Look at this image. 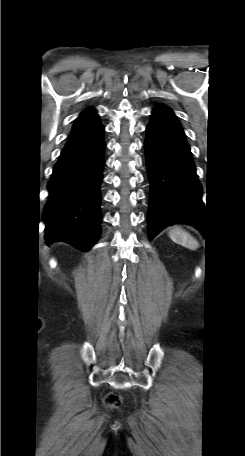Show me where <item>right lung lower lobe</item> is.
<instances>
[{
	"label": "right lung lower lobe",
	"instance_id": "98d812e1",
	"mask_svg": "<svg viewBox=\"0 0 245 456\" xmlns=\"http://www.w3.org/2000/svg\"><path fill=\"white\" fill-rule=\"evenodd\" d=\"M103 133L102 126L92 141L61 151L48 183L50 196L43 212L47 244L66 242L87 251L98 240L106 146Z\"/></svg>",
	"mask_w": 245,
	"mask_h": 456
}]
</instances>
